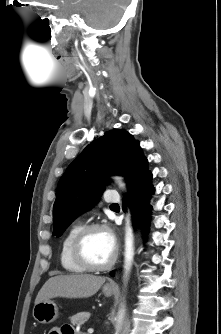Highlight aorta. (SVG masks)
Segmentation results:
<instances>
[{
  "label": "aorta",
  "instance_id": "obj_1",
  "mask_svg": "<svg viewBox=\"0 0 221 334\" xmlns=\"http://www.w3.org/2000/svg\"><path fill=\"white\" fill-rule=\"evenodd\" d=\"M119 184L124 187V185L119 181ZM134 249H133V234L132 229L130 227V220H127V231L125 238V269L126 272L130 270L131 262L133 259Z\"/></svg>",
  "mask_w": 221,
  "mask_h": 334
}]
</instances>
